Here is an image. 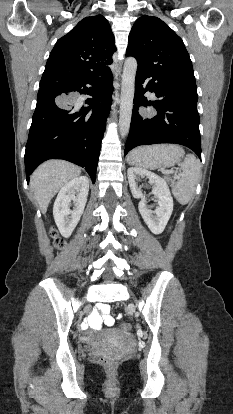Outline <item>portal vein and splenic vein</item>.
<instances>
[{
    "instance_id": "1",
    "label": "portal vein and splenic vein",
    "mask_w": 233,
    "mask_h": 414,
    "mask_svg": "<svg viewBox=\"0 0 233 414\" xmlns=\"http://www.w3.org/2000/svg\"><path fill=\"white\" fill-rule=\"evenodd\" d=\"M165 173L169 174V173H173L174 171L172 170H163Z\"/></svg>"
}]
</instances>
